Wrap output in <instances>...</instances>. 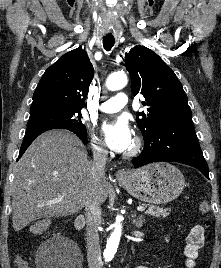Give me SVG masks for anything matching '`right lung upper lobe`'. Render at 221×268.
Here are the masks:
<instances>
[{
    "label": "right lung upper lobe",
    "instance_id": "1",
    "mask_svg": "<svg viewBox=\"0 0 221 268\" xmlns=\"http://www.w3.org/2000/svg\"><path fill=\"white\" fill-rule=\"evenodd\" d=\"M94 76L85 50L69 51L47 68L33 94L30 114L81 111Z\"/></svg>",
    "mask_w": 221,
    "mask_h": 268
}]
</instances>
